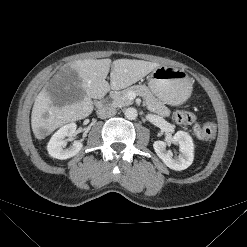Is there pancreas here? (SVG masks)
<instances>
[{"instance_id":"cf45deb5","label":"pancreas","mask_w":247,"mask_h":247,"mask_svg":"<svg viewBox=\"0 0 247 247\" xmlns=\"http://www.w3.org/2000/svg\"><path fill=\"white\" fill-rule=\"evenodd\" d=\"M129 92H133L136 95L141 96L145 100L149 110L153 113L161 117H168L170 115V110L164 105L163 102L157 99L145 85H134L122 91L112 93V106L122 107L131 105L133 101L128 97Z\"/></svg>"}]
</instances>
